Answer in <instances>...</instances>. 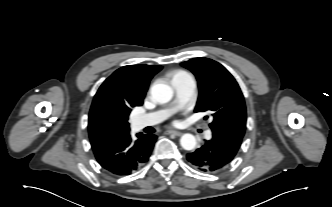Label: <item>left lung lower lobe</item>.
<instances>
[{
  "instance_id": "1",
  "label": "left lung lower lobe",
  "mask_w": 332,
  "mask_h": 207,
  "mask_svg": "<svg viewBox=\"0 0 332 207\" xmlns=\"http://www.w3.org/2000/svg\"><path fill=\"white\" fill-rule=\"evenodd\" d=\"M242 138L212 131V139L196 151L187 154V160L191 165L205 173H215L224 169L237 154Z\"/></svg>"
}]
</instances>
